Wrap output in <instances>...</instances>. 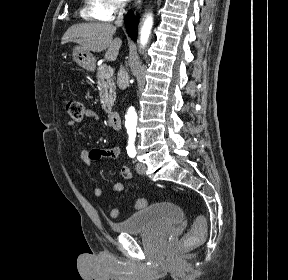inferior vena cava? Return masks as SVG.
I'll list each match as a JSON object with an SVG mask.
<instances>
[{
  "label": "inferior vena cava",
  "mask_w": 288,
  "mask_h": 280,
  "mask_svg": "<svg viewBox=\"0 0 288 280\" xmlns=\"http://www.w3.org/2000/svg\"><path fill=\"white\" fill-rule=\"evenodd\" d=\"M118 8H119V13H118V16L115 20V25L118 27H121L122 23H123L124 5L119 4ZM128 81H129L128 73L121 66L119 71H118V76H117V84L121 90L125 89V87L128 85Z\"/></svg>",
  "instance_id": "1"
}]
</instances>
